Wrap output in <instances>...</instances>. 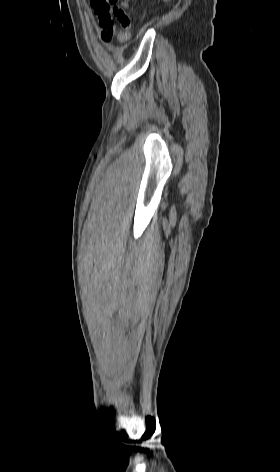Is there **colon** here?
Masks as SVG:
<instances>
[{"instance_id": "colon-1", "label": "colon", "mask_w": 280, "mask_h": 472, "mask_svg": "<svg viewBox=\"0 0 280 472\" xmlns=\"http://www.w3.org/2000/svg\"><path fill=\"white\" fill-rule=\"evenodd\" d=\"M90 2L102 25H115V19L122 29L130 28L131 18L118 6V0H90Z\"/></svg>"}]
</instances>
